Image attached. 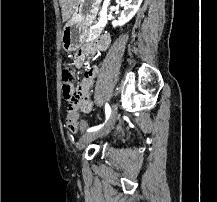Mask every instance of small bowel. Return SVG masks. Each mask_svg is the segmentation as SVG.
I'll list each match as a JSON object with an SVG mask.
<instances>
[{
	"instance_id": "c3829d8e",
	"label": "small bowel",
	"mask_w": 217,
	"mask_h": 202,
	"mask_svg": "<svg viewBox=\"0 0 217 202\" xmlns=\"http://www.w3.org/2000/svg\"><path fill=\"white\" fill-rule=\"evenodd\" d=\"M110 43V37L108 35H101L97 39L88 42L84 47L81 48L79 53L74 59V64L76 67H81L83 64V61L85 57L89 53H95L96 51H103L105 50ZM97 75V69L91 68L86 70L85 76H84V84L83 87L87 88L89 85H91ZM84 106L82 109L83 111L89 113L92 111V106H96V101H84ZM74 114H67V116H76V121H74L76 124L80 121V114L79 111L76 109L74 110ZM66 116V118H67ZM67 120V119H66ZM80 126H86V122L81 123L77 126L76 130L80 129ZM74 131V132H75Z\"/></svg>"
}]
</instances>
